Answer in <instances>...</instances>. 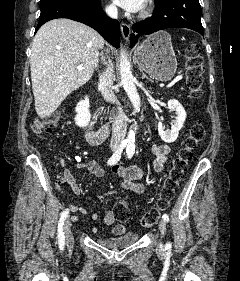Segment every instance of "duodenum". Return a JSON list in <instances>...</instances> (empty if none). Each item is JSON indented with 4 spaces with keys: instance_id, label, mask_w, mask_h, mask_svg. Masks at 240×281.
Returning <instances> with one entry per match:
<instances>
[{
    "instance_id": "obj_1",
    "label": "duodenum",
    "mask_w": 240,
    "mask_h": 281,
    "mask_svg": "<svg viewBox=\"0 0 240 281\" xmlns=\"http://www.w3.org/2000/svg\"><path fill=\"white\" fill-rule=\"evenodd\" d=\"M108 132V126H101L97 128L93 118L89 120L85 127V137L91 144H98L102 142L108 136Z\"/></svg>"
}]
</instances>
